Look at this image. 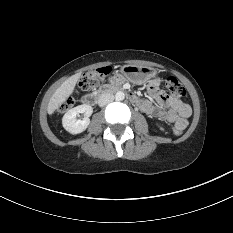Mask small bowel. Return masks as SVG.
Wrapping results in <instances>:
<instances>
[{
	"label": "small bowel",
	"instance_id": "c3829d8e",
	"mask_svg": "<svg viewBox=\"0 0 233 233\" xmlns=\"http://www.w3.org/2000/svg\"><path fill=\"white\" fill-rule=\"evenodd\" d=\"M111 81L115 85H121L124 82V77L121 74H115L112 76ZM146 87L157 104L155 105L149 100L139 99L137 106L148 116L173 123L184 130L191 115L190 106L180 99L167 96L159 88V81L155 78H150L146 82Z\"/></svg>",
	"mask_w": 233,
	"mask_h": 233
}]
</instances>
